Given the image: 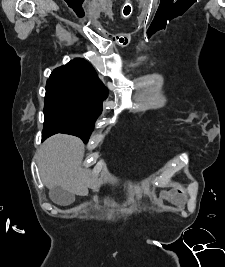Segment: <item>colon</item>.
Returning <instances> with one entry per match:
<instances>
[{
  "label": "colon",
  "mask_w": 225,
  "mask_h": 267,
  "mask_svg": "<svg viewBox=\"0 0 225 267\" xmlns=\"http://www.w3.org/2000/svg\"><path fill=\"white\" fill-rule=\"evenodd\" d=\"M125 7H126L125 13L129 15L130 12H131V5L130 4H127V5H125ZM128 15H126V16H128Z\"/></svg>",
  "instance_id": "1"
}]
</instances>
